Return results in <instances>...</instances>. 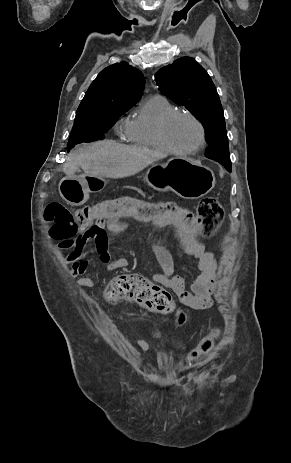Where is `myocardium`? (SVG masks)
Segmentation results:
<instances>
[{
	"mask_svg": "<svg viewBox=\"0 0 291 463\" xmlns=\"http://www.w3.org/2000/svg\"><path fill=\"white\" fill-rule=\"evenodd\" d=\"M179 116H184L189 119H191L199 128L200 131V138L198 143L189 149H178L175 146L171 144V142L168 139L167 136V129L169 124L171 123L172 120ZM157 136L160 141V144L162 148L167 151L168 153L174 154V155H191L194 153L199 152L205 145L206 142V129L203 123L199 118H197L194 114L188 111H182V110H174L173 112H170L166 116L162 118L160 121L158 128H157Z\"/></svg>",
	"mask_w": 291,
	"mask_h": 463,
	"instance_id": "obj_1",
	"label": "myocardium"
}]
</instances>
